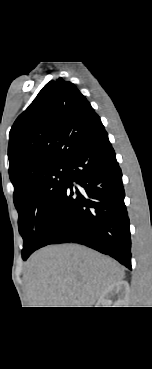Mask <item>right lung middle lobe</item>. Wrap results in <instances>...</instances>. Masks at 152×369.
I'll return each mask as SVG.
<instances>
[{"mask_svg": "<svg viewBox=\"0 0 152 369\" xmlns=\"http://www.w3.org/2000/svg\"><path fill=\"white\" fill-rule=\"evenodd\" d=\"M67 181L68 164L53 166L35 174L13 196L19 214V232L24 239L23 260L39 248Z\"/></svg>", "mask_w": 152, "mask_h": 369, "instance_id": "dd1d6c3e", "label": "right lung middle lobe"}]
</instances>
